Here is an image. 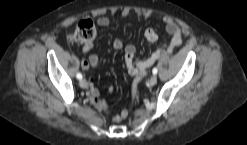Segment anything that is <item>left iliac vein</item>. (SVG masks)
Wrapping results in <instances>:
<instances>
[{"label": "left iliac vein", "instance_id": "1", "mask_svg": "<svg viewBox=\"0 0 247 145\" xmlns=\"http://www.w3.org/2000/svg\"><path fill=\"white\" fill-rule=\"evenodd\" d=\"M156 83H157V76L156 75H153V76H151V78L149 79V81H148L147 84H148V86L152 87Z\"/></svg>", "mask_w": 247, "mask_h": 145}]
</instances>
